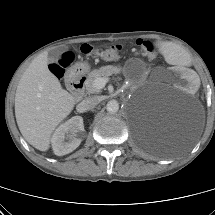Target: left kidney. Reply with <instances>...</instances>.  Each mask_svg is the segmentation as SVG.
Instances as JSON below:
<instances>
[{
  "label": "left kidney",
  "instance_id": "5707ae66",
  "mask_svg": "<svg viewBox=\"0 0 215 215\" xmlns=\"http://www.w3.org/2000/svg\"><path fill=\"white\" fill-rule=\"evenodd\" d=\"M168 78L177 87L184 88L187 92H194L199 86V77L192 71L183 70L179 67H172L168 71Z\"/></svg>",
  "mask_w": 215,
  "mask_h": 215
}]
</instances>
